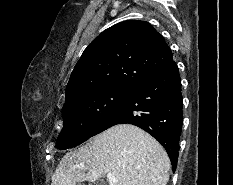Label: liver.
Listing matches in <instances>:
<instances>
[{
	"label": "liver",
	"mask_w": 233,
	"mask_h": 185,
	"mask_svg": "<svg viewBox=\"0 0 233 185\" xmlns=\"http://www.w3.org/2000/svg\"><path fill=\"white\" fill-rule=\"evenodd\" d=\"M81 164L84 169L77 167ZM170 168V159L159 142L136 126L120 124L66 153L51 185L95 182L108 173L114 175V185H166Z\"/></svg>",
	"instance_id": "obj_1"
}]
</instances>
